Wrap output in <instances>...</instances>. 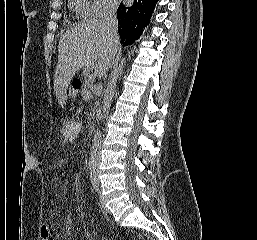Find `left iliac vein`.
Wrapping results in <instances>:
<instances>
[{"label":"left iliac vein","mask_w":257,"mask_h":240,"mask_svg":"<svg viewBox=\"0 0 257 240\" xmlns=\"http://www.w3.org/2000/svg\"><path fill=\"white\" fill-rule=\"evenodd\" d=\"M100 204H101V209H102L105 213H108L109 210H108V208L105 206V203H104L102 197L100 198Z\"/></svg>","instance_id":"left-iliac-vein-1"}]
</instances>
